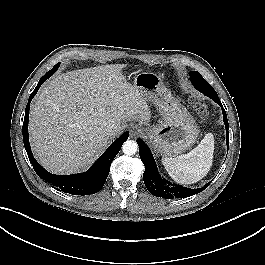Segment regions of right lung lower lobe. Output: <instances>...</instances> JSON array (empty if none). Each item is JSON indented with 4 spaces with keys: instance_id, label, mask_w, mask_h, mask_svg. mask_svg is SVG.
I'll return each mask as SVG.
<instances>
[{
    "instance_id": "1",
    "label": "right lung lower lobe",
    "mask_w": 265,
    "mask_h": 265,
    "mask_svg": "<svg viewBox=\"0 0 265 265\" xmlns=\"http://www.w3.org/2000/svg\"><path fill=\"white\" fill-rule=\"evenodd\" d=\"M57 65V64H56ZM53 73L47 72L40 80L34 91L31 93L28 104L25 109V117L23 123V141L27 151L29 160L37 173V175L44 181L52 184L59 188L65 193L72 195H88L94 194L102 189L106 182L107 176L110 171V166L115 156L120 151L122 144L128 139L129 132L123 133L117 140H115L103 153L101 157L92 165V167L80 174L74 175H55L46 171L41 165L38 164L36 159L33 157L29 137H28V119L30 102L39 90L41 84L46 81Z\"/></svg>"
}]
</instances>
